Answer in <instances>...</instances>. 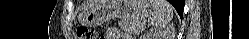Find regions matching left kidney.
Wrapping results in <instances>:
<instances>
[{
    "instance_id": "5707ae66",
    "label": "left kidney",
    "mask_w": 249,
    "mask_h": 39,
    "mask_svg": "<svg viewBox=\"0 0 249 39\" xmlns=\"http://www.w3.org/2000/svg\"><path fill=\"white\" fill-rule=\"evenodd\" d=\"M166 39L168 38L167 35L162 34L161 32L151 30L146 35L143 36V39ZM170 39V37L168 38Z\"/></svg>"
}]
</instances>
